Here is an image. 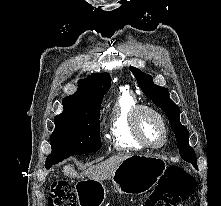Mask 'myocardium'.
Masks as SVG:
<instances>
[{
    "mask_svg": "<svg viewBox=\"0 0 221 206\" xmlns=\"http://www.w3.org/2000/svg\"><path fill=\"white\" fill-rule=\"evenodd\" d=\"M143 113H150L154 117L158 119L161 124L163 130V139L159 144H150L144 137L142 130H141V116ZM132 130L134 137L136 140L145 148L148 149H160L162 148L167 140H168V127L164 116L155 108L148 106V105H137L132 112Z\"/></svg>",
    "mask_w": 221,
    "mask_h": 206,
    "instance_id": "myocardium-1",
    "label": "myocardium"
}]
</instances>
